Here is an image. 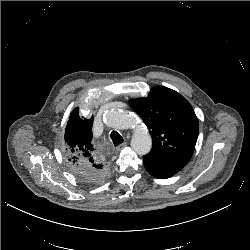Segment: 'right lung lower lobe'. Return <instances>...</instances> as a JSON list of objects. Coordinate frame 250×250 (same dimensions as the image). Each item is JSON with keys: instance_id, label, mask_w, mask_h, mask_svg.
<instances>
[{"instance_id": "obj_1", "label": "right lung lower lobe", "mask_w": 250, "mask_h": 250, "mask_svg": "<svg viewBox=\"0 0 250 250\" xmlns=\"http://www.w3.org/2000/svg\"><path fill=\"white\" fill-rule=\"evenodd\" d=\"M70 169L79 180L88 184L101 183L109 174V170L107 168L102 171H94L78 169L70 165Z\"/></svg>"}]
</instances>
